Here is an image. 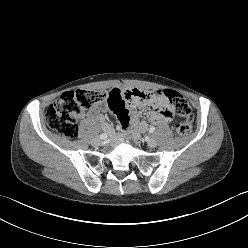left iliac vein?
<instances>
[{"label":"left iliac vein","instance_id":"left-iliac-vein-1","mask_svg":"<svg viewBox=\"0 0 248 248\" xmlns=\"http://www.w3.org/2000/svg\"><path fill=\"white\" fill-rule=\"evenodd\" d=\"M147 145L150 147V148H154L156 147L157 145V141L154 137H150L147 141Z\"/></svg>","mask_w":248,"mask_h":248}]
</instances>
